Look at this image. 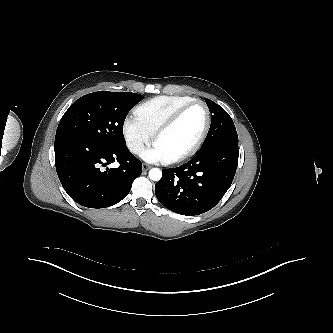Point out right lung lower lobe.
<instances>
[{"instance_id": "1", "label": "right lung lower lobe", "mask_w": 333, "mask_h": 333, "mask_svg": "<svg viewBox=\"0 0 333 333\" xmlns=\"http://www.w3.org/2000/svg\"><path fill=\"white\" fill-rule=\"evenodd\" d=\"M55 165L67 194L78 204L105 208L124 199L142 163L126 147H108L72 137L55 138ZM118 168H110L113 162Z\"/></svg>"}]
</instances>
